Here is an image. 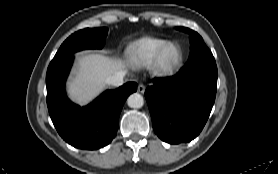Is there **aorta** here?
Here are the masks:
<instances>
[{"mask_svg":"<svg viewBox=\"0 0 278 174\" xmlns=\"http://www.w3.org/2000/svg\"><path fill=\"white\" fill-rule=\"evenodd\" d=\"M127 104L130 108L139 109L144 105L143 96L139 93H133L128 97Z\"/></svg>","mask_w":278,"mask_h":174,"instance_id":"762f6f07","label":"aorta"}]
</instances>
